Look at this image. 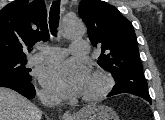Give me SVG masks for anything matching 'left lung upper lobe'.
I'll list each match as a JSON object with an SVG mask.
<instances>
[{
  "label": "left lung upper lobe",
  "instance_id": "1",
  "mask_svg": "<svg viewBox=\"0 0 165 120\" xmlns=\"http://www.w3.org/2000/svg\"><path fill=\"white\" fill-rule=\"evenodd\" d=\"M78 10L92 45L102 49L98 64L116 82L109 96L130 93L151 101L131 22L101 0H81Z\"/></svg>",
  "mask_w": 165,
  "mask_h": 120
}]
</instances>
